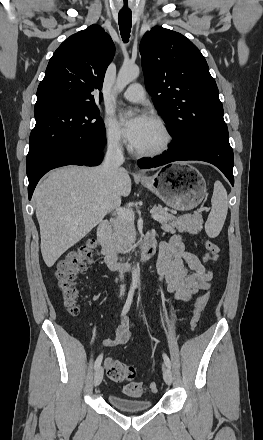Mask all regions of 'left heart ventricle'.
Returning a JSON list of instances; mask_svg holds the SVG:
<instances>
[{"label":"left heart ventricle","instance_id":"left-heart-ventricle-1","mask_svg":"<svg viewBox=\"0 0 263 440\" xmlns=\"http://www.w3.org/2000/svg\"><path fill=\"white\" fill-rule=\"evenodd\" d=\"M162 141L161 131L153 122L149 121L134 147L140 150H148L159 146Z\"/></svg>","mask_w":263,"mask_h":440}]
</instances>
